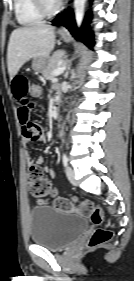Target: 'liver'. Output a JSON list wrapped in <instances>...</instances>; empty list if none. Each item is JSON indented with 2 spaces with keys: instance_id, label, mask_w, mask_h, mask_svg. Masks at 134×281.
Returning a JSON list of instances; mask_svg holds the SVG:
<instances>
[{
  "instance_id": "liver-1",
  "label": "liver",
  "mask_w": 134,
  "mask_h": 281,
  "mask_svg": "<svg viewBox=\"0 0 134 281\" xmlns=\"http://www.w3.org/2000/svg\"><path fill=\"white\" fill-rule=\"evenodd\" d=\"M55 27L36 23L21 27L11 33L7 49V65L10 79L30 59L47 58L55 45Z\"/></svg>"
}]
</instances>
